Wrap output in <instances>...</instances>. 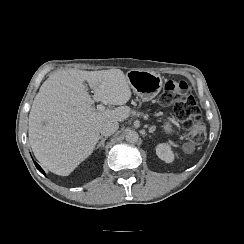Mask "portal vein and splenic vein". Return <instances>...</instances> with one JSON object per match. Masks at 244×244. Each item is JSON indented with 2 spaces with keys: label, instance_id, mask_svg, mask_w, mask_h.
<instances>
[{
  "label": "portal vein and splenic vein",
  "instance_id": "18ae733b",
  "mask_svg": "<svg viewBox=\"0 0 244 244\" xmlns=\"http://www.w3.org/2000/svg\"><path fill=\"white\" fill-rule=\"evenodd\" d=\"M104 108H105L104 106L101 105L98 106V109H104Z\"/></svg>",
  "mask_w": 244,
  "mask_h": 244
}]
</instances>
